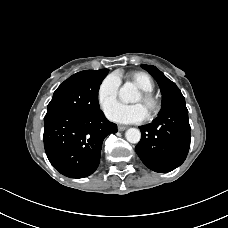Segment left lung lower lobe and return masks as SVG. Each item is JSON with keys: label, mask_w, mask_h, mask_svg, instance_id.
<instances>
[{"label": "left lung lower lobe", "mask_w": 228, "mask_h": 228, "mask_svg": "<svg viewBox=\"0 0 228 228\" xmlns=\"http://www.w3.org/2000/svg\"><path fill=\"white\" fill-rule=\"evenodd\" d=\"M141 140L135 151L142 162L156 172L180 166L190 147V125L185 100L164 109L152 123L139 127Z\"/></svg>", "instance_id": "left-lung-lower-lobe-1"}]
</instances>
